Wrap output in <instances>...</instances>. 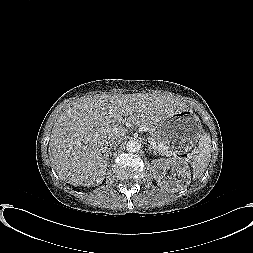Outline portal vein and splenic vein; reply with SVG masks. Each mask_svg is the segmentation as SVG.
<instances>
[{"instance_id": "1", "label": "portal vein and splenic vein", "mask_w": 253, "mask_h": 253, "mask_svg": "<svg viewBox=\"0 0 253 253\" xmlns=\"http://www.w3.org/2000/svg\"><path fill=\"white\" fill-rule=\"evenodd\" d=\"M150 145L154 148V149H159L162 147L161 144H157L151 137L148 138ZM170 156V155H167ZM188 158H192V154H188L187 155Z\"/></svg>"}]
</instances>
